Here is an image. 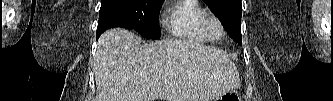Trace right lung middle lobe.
I'll return each mask as SVG.
<instances>
[{
	"label": "right lung middle lobe",
	"instance_id": "right-lung-middle-lobe-1",
	"mask_svg": "<svg viewBox=\"0 0 333 101\" xmlns=\"http://www.w3.org/2000/svg\"><path fill=\"white\" fill-rule=\"evenodd\" d=\"M164 0H102L101 7L117 9L134 29L145 38L160 39L158 13Z\"/></svg>",
	"mask_w": 333,
	"mask_h": 101
}]
</instances>
